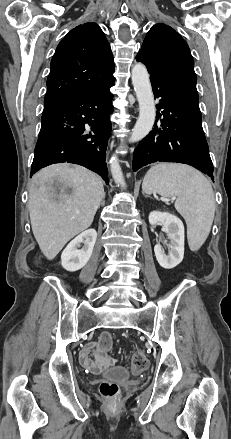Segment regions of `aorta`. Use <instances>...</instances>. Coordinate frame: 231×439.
Masks as SVG:
<instances>
[{"label": "aorta", "mask_w": 231, "mask_h": 439, "mask_svg": "<svg viewBox=\"0 0 231 439\" xmlns=\"http://www.w3.org/2000/svg\"><path fill=\"white\" fill-rule=\"evenodd\" d=\"M131 73L132 84L139 103V117L128 141L137 142L142 140L152 130L155 122L156 108L146 67L142 63H137L133 66ZM110 170L114 182L118 186L124 187L125 180L118 157L115 154L110 160Z\"/></svg>", "instance_id": "762f6f07"}]
</instances>
